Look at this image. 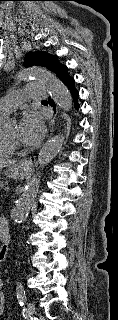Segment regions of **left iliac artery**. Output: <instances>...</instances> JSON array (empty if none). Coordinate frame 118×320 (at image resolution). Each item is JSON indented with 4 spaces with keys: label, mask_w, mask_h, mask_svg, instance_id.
<instances>
[{
    "label": "left iliac artery",
    "mask_w": 118,
    "mask_h": 320,
    "mask_svg": "<svg viewBox=\"0 0 118 320\" xmlns=\"http://www.w3.org/2000/svg\"><path fill=\"white\" fill-rule=\"evenodd\" d=\"M16 294H17V299L19 301L20 306H23L26 302V292L24 290L23 285L19 282L16 287Z\"/></svg>",
    "instance_id": "1"
}]
</instances>
